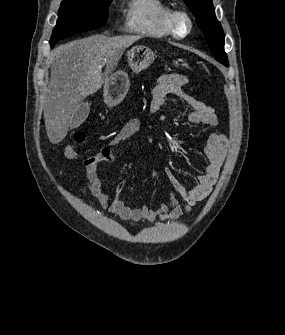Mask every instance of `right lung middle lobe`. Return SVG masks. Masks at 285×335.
I'll return each instance as SVG.
<instances>
[{
  "mask_svg": "<svg viewBox=\"0 0 285 335\" xmlns=\"http://www.w3.org/2000/svg\"><path fill=\"white\" fill-rule=\"evenodd\" d=\"M111 0H63L51 46L71 35L97 29L106 24Z\"/></svg>",
  "mask_w": 285,
  "mask_h": 335,
  "instance_id": "right-lung-middle-lobe-1",
  "label": "right lung middle lobe"
}]
</instances>
